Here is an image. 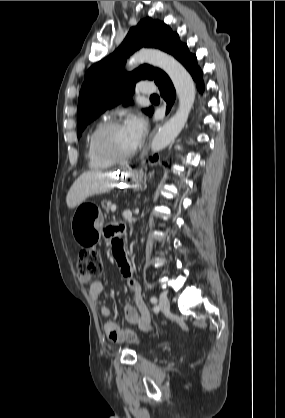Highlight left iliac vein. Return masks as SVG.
Here are the masks:
<instances>
[{
  "label": "left iliac vein",
  "instance_id": "obj_1",
  "mask_svg": "<svg viewBox=\"0 0 285 418\" xmlns=\"http://www.w3.org/2000/svg\"><path fill=\"white\" fill-rule=\"evenodd\" d=\"M158 307L163 312H168L169 311L170 303H169V300H168V298L165 294H160Z\"/></svg>",
  "mask_w": 285,
  "mask_h": 418
}]
</instances>
